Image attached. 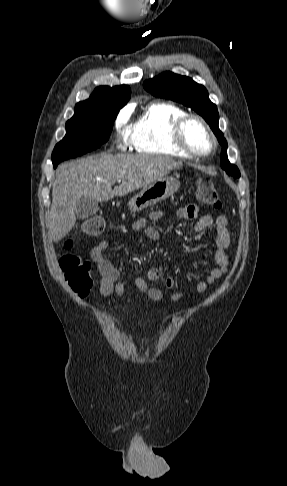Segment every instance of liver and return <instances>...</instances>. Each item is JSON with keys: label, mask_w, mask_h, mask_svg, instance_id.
<instances>
[{"label": "liver", "mask_w": 287, "mask_h": 486, "mask_svg": "<svg viewBox=\"0 0 287 486\" xmlns=\"http://www.w3.org/2000/svg\"><path fill=\"white\" fill-rule=\"evenodd\" d=\"M181 166L182 162L169 157L129 154H100L64 164L52 187L50 238L58 242L72 230L81 197L108 201L147 186ZM117 181L120 185L112 189Z\"/></svg>", "instance_id": "obj_1"}]
</instances>
